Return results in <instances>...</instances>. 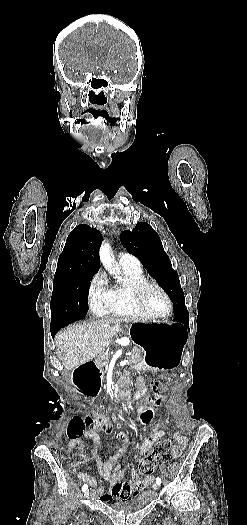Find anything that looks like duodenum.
Returning a JSON list of instances; mask_svg holds the SVG:
<instances>
[{
    "label": "duodenum",
    "instance_id": "410a0bca",
    "mask_svg": "<svg viewBox=\"0 0 247 525\" xmlns=\"http://www.w3.org/2000/svg\"><path fill=\"white\" fill-rule=\"evenodd\" d=\"M102 370L93 361H86L80 364L72 374V382L77 389L86 396H94L98 393L102 382ZM139 393L133 391H123L116 387L112 391V398L114 400L124 397L126 399H133Z\"/></svg>",
    "mask_w": 247,
    "mask_h": 525
}]
</instances>
